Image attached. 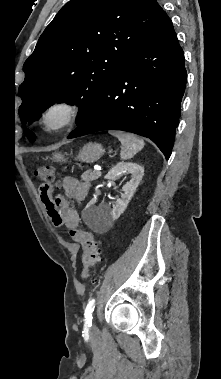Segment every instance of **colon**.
I'll return each instance as SVG.
<instances>
[{
    "mask_svg": "<svg viewBox=\"0 0 221 379\" xmlns=\"http://www.w3.org/2000/svg\"><path fill=\"white\" fill-rule=\"evenodd\" d=\"M34 175L36 179L42 184V193H47L49 190H51V185L55 180V172L53 167L49 165H41L37 167ZM70 235L74 241L80 243L83 247V268L81 275L83 279H87L89 277L90 269L99 262L100 243L92 233L83 229H71Z\"/></svg>",
    "mask_w": 221,
    "mask_h": 379,
    "instance_id": "1",
    "label": "colon"
}]
</instances>
